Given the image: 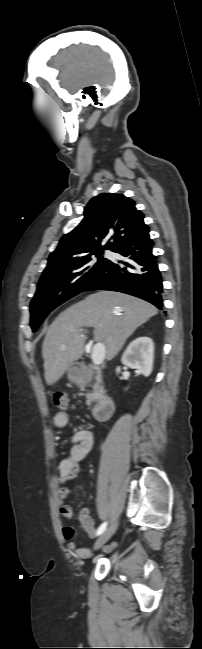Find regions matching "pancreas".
<instances>
[{
  "instance_id": "pancreas-1",
  "label": "pancreas",
  "mask_w": 202,
  "mask_h": 649,
  "mask_svg": "<svg viewBox=\"0 0 202 649\" xmlns=\"http://www.w3.org/2000/svg\"><path fill=\"white\" fill-rule=\"evenodd\" d=\"M94 367L90 366V368H85V372L82 377L81 385L86 383L92 375V370ZM96 383L93 387V392H89L87 394V405L90 407L93 402L97 401L102 393L104 392V388L102 386V379H101V373L100 371H97V375L95 377Z\"/></svg>"
}]
</instances>
